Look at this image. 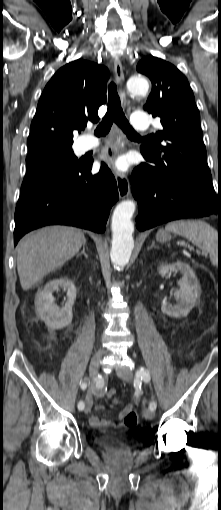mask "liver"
<instances>
[{"instance_id": "obj_1", "label": "liver", "mask_w": 221, "mask_h": 510, "mask_svg": "<svg viewBox=\"0 0 221 510\" xmlns=\"http://www.w3.org/2000/svg\"><path fill=\"white\" fill-rule=\"evenodd\" d=\"M86 243L80 229L44 227L25 236L17 246V270L23 290H29L47 274L70 260Z\"/></svg>"}]
</instances>
